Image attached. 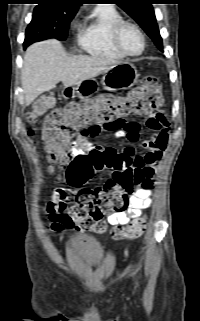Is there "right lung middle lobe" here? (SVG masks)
Returning a JSON list of instances; mask_svg holds the SVG:
<instances>
[{"instance_id":"obj_1","label":"right lung middle lobe","mask_w":200,"mask_h":321,"mask_svg":"<svg viewBox=\"0 0 200 321\" xmlns=\"http://www.w3.org/2000/svg\"><path fill=\"white\" fill-rule=\"evenodd\" d=\"M76 11L70 13H57L48 7L36 6L32 20L29 23L24 48L28 45L49 38L65 40L69 29V24L74 18Z\"/></svg>"}]
</instances>
